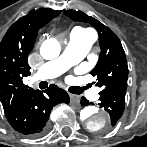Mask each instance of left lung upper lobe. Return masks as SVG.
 Returning a JSON list of instances; mask_svg holds the SVG:
<instances>
[{"instance_id": "1", "label": "left lung upper lobe", "mask_w": 147, "mask_h": 147, "mask_svg": "<svg viewBox=\"0 0 147 147\" xmlns=\"http://www.w3.org/2000/svg\"><path fill=\"white\" fill-rule=\"evenodd\" d=\"M64 13L74 21L91 24L98 31L101 53L96 67L91 71L102 87L100 95L113 89H127L128 66L125 52L118 37L108 27L82 11L68 10Z\"/></svg>"}]
</instances>
